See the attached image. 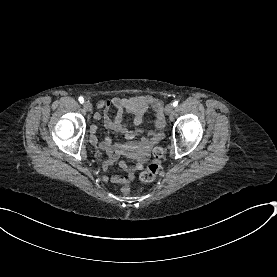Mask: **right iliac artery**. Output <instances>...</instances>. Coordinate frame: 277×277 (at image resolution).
<instances>
[{
    "label": "right iliac artery",
    "instance_id": "82829eb1",
    "mask_svg": "<svg viewBox=\"0 0 277 277\" xmlns=\"http://www.w3.org/2000/svg\"><path fill=\"white\" fill-rule=\"evenodd\" d=\"M78 100H79L80 103H83V102H84V98H83V97H79Z\"/></svg>",
    "mask_w": 277,
    "mask_h": 277
}]
</instances>
